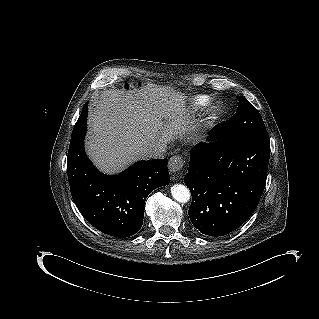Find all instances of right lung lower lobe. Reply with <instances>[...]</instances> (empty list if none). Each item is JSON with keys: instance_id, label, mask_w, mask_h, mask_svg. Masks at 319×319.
Listing matches in <instances>:
<instances>
[{"instance_id": "98d812e1", "label": "right lung lower lobe", "mask_w": 319, "mask_h": 319, "mask_svg": "<svg viewBox=\"0 0 319 319\" xmlns=\"http://www.w3.org/2000/svg\"><path fill=\"white\" fill-rule=\"evenodd\" d=\"M87 114L85 104L73 129L67 157L73 200L99 231L114 237L132 236L143 224L147 196L170 181L168 160L139 161L117 176L100 173L84 151Z\"/></svg>"}]
</instances>
